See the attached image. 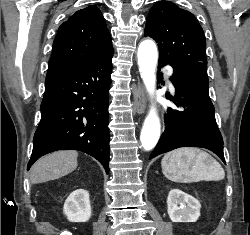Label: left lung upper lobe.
<instances>
[{
	"label": "left lung upper lobe",
	"mask_w": 250,
	"mask_h": 235,
	"mask_svg": "<svg viewBox=\"0 0 250 235\" xmlns=\"http://www.w3.org/2000/svg\"><path fill=\"white\" fill-rule=\"evenodd\" d=\"M144 33L158 43L159 60L171 66L202 63L207 67L203 29L189 11L159 1L147 16Z\"/></svg>",
	"instance_id": "1"
}]
</instances>
